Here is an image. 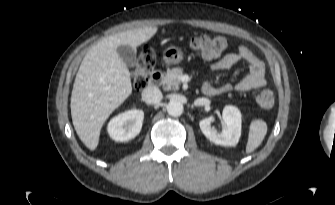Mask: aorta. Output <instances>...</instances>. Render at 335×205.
<instances>
[{
	"mask_svg": "<svg viewBox=\"0 0 335 205\" xmlns=\"http://www.w3.org/2000/svg\"><path fill=\"white\" fill-rule=\"evenodd\" d=\"M167 112L171 116H180L183 113V104L179 101L172 100L167 104Z\"/></svg>",
	"mask_w": 335,
	"mask_h": 205,
	"instance_id": "obj_1",
	"label": "aorta"
}]
</instances>
